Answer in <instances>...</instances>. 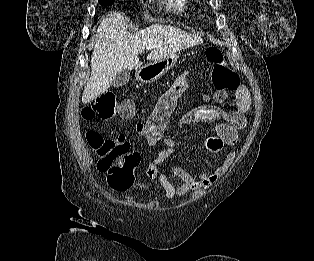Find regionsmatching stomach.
<instances>
[{"label":"stomach","mask_w":314,"mask_h":261,"mask_svg":"<svg viewBox=\"0 0 314 261\" xmlns=\"http://www.w3.org/2000/svg\"><path fill=\"white\" fill-rule=\"evenodd\" d=\"M179 53L150 62L136 71V78L142 83H153L167 73L177 63Z\"/></svg>","instance_id":"1"}]
</instances>
